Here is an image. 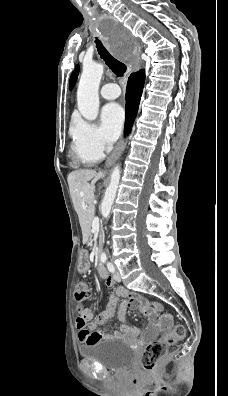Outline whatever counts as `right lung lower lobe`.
I'll return each instance as SVG.
<instances>
[{"label": "right lung lower lobe", "mask_w": 228, "mask_h": 396, "mask_svg": "<svg viewBox=\"0 0 228 396\" xmlns=\"http://www.w3.org/2000/svg\"><path fill=\"white\" fill-rule=\"evenodd\" d=\"M145 73L140 70L130 75L126 89V121L125 129L129 133L136 117L143 90Z\"/></svg>", "instance_id": "98d812e1"}]
</instances>
